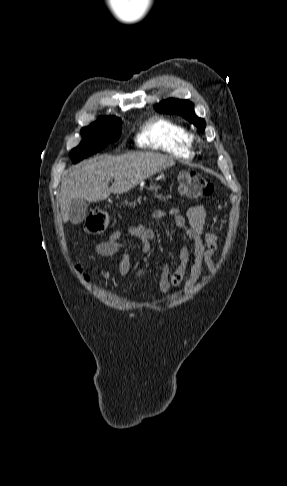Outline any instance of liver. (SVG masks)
Returning <instances> with one entry per match:
<instances>
[{
  "label": "liver",
  "mask_w": 287,
  "mask_h": 486,
  "mask_svg": "<svg viewBox=\"0 0 287 486\" xmlns=\"http://www.w3.org/2000/svg\"><path fill=\"white\" fill-rule=\"evenodd\" d=\"M175 165L168 156L154 153H128L121 156H99L66 171L60 191L63 222L69 220L73 200L98 202L111 193L127 192L160 170ZM114 183L109 188V182Z\"/></svg>",
  "instance_id": "1"
}]
</instances>
